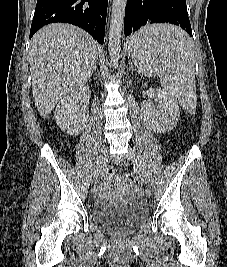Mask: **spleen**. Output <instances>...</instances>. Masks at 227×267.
<instances>
[{"mask_svg": "<svg viewBox=\"0 0 227 267\" xmlns=\"http://www.w3.org/2000/svg\"><path fill=\"white\" fill-rule=\"evenodd\" d=\"M132 31L126 47L140 77H157L183 106L196 105L195 54L189 36L173 22H153Z\"/></svg>", "mask_w": 227, "mask_h": 267, "instance_id": "obj_1", "label": "spleen"}]
</instances>
